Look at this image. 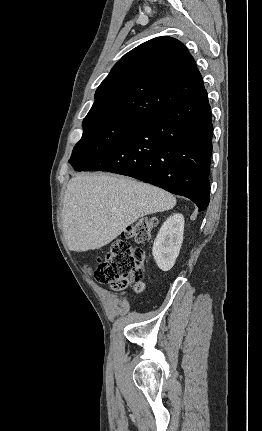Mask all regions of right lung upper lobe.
I'll use <instances>...</instances> for the list:
<instances>
[{"label": "right lung upper lobe", "mask_w": 262, "mask_h": 431, "mask_svg": "<svg viewBox=\"0 0 262 431\" xmlns=\"http://www.w3.org/2000/svg\"><path fill=\"white\" fill-rule=\"evenodd\" d=\"M204 90L186 47L171 37L151 39L125 54L102 81L83 124L137 121Z\"/></svg>", "instance_id": "1"}]
</instances>
